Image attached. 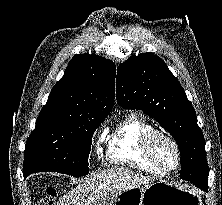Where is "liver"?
<instances>
[{
    "instance_id": "liver-1",
    "label": "liver",
    "mask_w": 222,
    "mask_h": 205,
    "mask_svg": "<svg viewBox=\"0 0 222 205\" xmlns=\"http://www.w3.org/2000/svg\"><path fill=\"white\" fill-rule=\"evenodd\" d=\"M154 180L150 176H143L124 168L108 169L85 178L64 195L57 205H93L95 202L109 199L118 192L140 187Z\"/></svg>"
}]
</instances>
